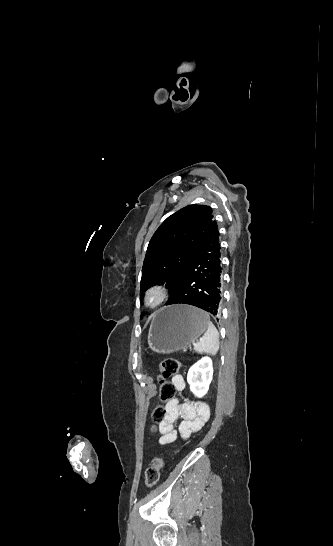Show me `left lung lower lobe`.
I'll list each match as a JSON object with an SVG mask.
<instances>
[{
	"mask_svg": "<svg viewBox=\"0 0 333 546\" xmlns=\"http://www.w3.org/2000/svg\"><path fill=\"white\" fill-rule=\"evenodd\" d=\"M222 267L217 223L203 237L194 260L179 279L165 305L189 304L216 318L221 312Z\"/></svg>",
	"mask_w": 333,
	"mask_h": 546,
	"instance_id": "0a47b994",
	"label": "left lung lower lobe"
}]
</instances>
